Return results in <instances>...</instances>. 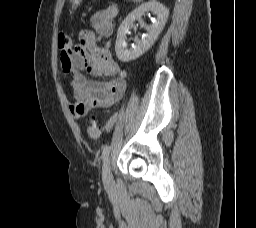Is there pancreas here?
<instances>
[{
    "label": "pancreas",
    "instance_id": "1",
    "mask_svg": "<svg viewBox=\"0 0 256 228\" xmlns=\"http://www.w3.org/2000/svg\"><path fill=\"white\" fill-rule=\"evenodd\" d=\"M127 1H133V2H138V1H140V0H127Z\"/></svg>",
    "mask_w": 256,
    "mask_h": 228
}]
</instances>
